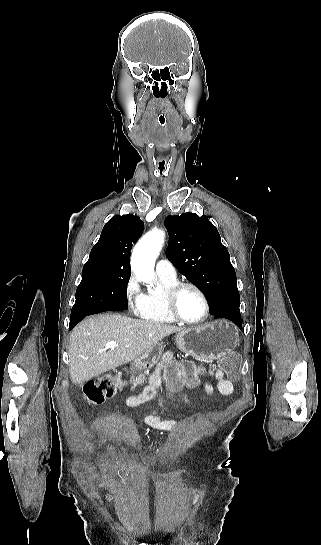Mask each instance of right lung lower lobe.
Returning <instances> with one entry per match:
<instances>
[{
	"instance_id": "right-lung-lower-lobe-1",
	"label": "right lung lower lobe",
	"mask_w": 321,
	"mask_h": 545,
	"mask_svg": "<svg viewBox=\"0 0 321 545\" xmlns=\"http://www.w3.org/2000/svg\"><path fill=\"white\" fill-rule=\"evenodd\" d=\"M126 309H128L127 298L116 301L111 307H109L108 311L126 310ZM86 316H88V314H83V315L71 318L70 329H73L74 326H76Z\"/></svg>"
}]
</instances>
